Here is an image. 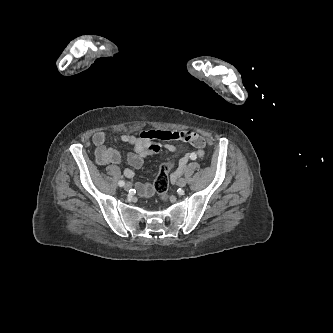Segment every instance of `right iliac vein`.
Returning a JSON list of instances; mask_svg holds the SVG:
<instances>
[{"label": "right iliac vein", "instance_id": "right-iliac-vein-1", "mask_svg": "<svg viewBox=\"0 0 333 333\" xmlns=\"http://www.w3.org/2000/svg\"><path fill=\"white\" fill-rule=\"evenodd\" d=\"M131 187H132V184L129 183V182H127V183L124 185V189H125L126 191H128Z\"/></svg>", "mask_w": 333, "mask_h": 333}]
</instances>
